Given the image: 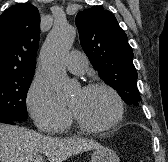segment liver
Masks as SVG:
<instances>
[{
    "instance_id": "6515ba94",
    "label": "liver",
    "mask_w": 168,
    "mask_h": 162,
    "mask_svg": "<svg viewBox=\"0 0 168 162\" xmlns=\"http://www.w3.org/2000/svg\"><path fill=\"white\" fill-rule=\"evenodd\" d=\"M101 148L84 138L49 137L36 131L0 123V162H63L84 151Z\"/></svg>"
}]
</instances>
